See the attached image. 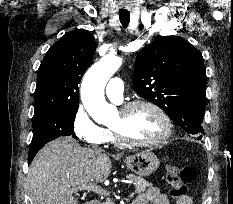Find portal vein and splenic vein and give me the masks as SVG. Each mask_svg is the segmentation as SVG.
Segmentation results:
<instances>
[{"label":"portal vein and splenic vein","mask_w":233,"mask_h":204,"mask_svg":"<svg viewBox=\"0 0 233 204\" xmlns=\"http://www.w3.org/2000/svg\"><path fill=\"white\" fill-rule=\"evenodd\" d=\"M73 190L74 191H77V190H87V191H92L94 193H97L99 195H109V192L107 190L103 189L102 187L98 186L95 183L78 186L77 188H74ZM132 195H134V194L132 193L131 196Z\"/></svg>","instance_id":"18ae733b"}]
</instances>
